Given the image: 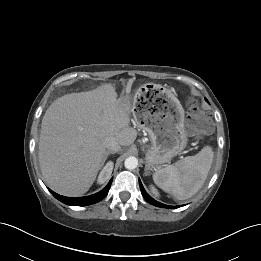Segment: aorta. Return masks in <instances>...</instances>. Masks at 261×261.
<instances>
[{
	"label": "aorta",
	"mask_w": 261,
	"mask_h": 261,
	"mask_svg": "<svg viewBox=\"0 0 261 261\" xmlns=\"http://www.w3.org/2000/svg\"><path fill=\"white\" fill-rule=\"evenodd\" d=\"M124 166L128 170H133L138 166V159L134 156H130L126 158Z\"/></svg>",
	"instance_id": "obj_1"
}]
</instances>
